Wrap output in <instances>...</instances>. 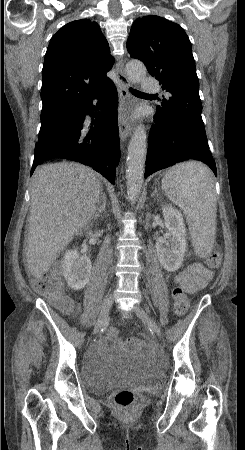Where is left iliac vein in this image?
Masks as SVG:
<instances>
[{"label": "left iliac vein", "instance_id": "4c4485c4", "mask_svg": "<svg viewBox=\"0 0 245 450\" xmlns=\"http://www.w3.org/2000/svg\"><path fill=\"white\" fill-rule=\"evenodd\" d=\"M133 310L139 319H141L143 322L150 324L152 330L155 332L157 336L160 337L162 335L161 329L158 326V324L152 318L149 317L147 312L142 307L136 305Z\"/></svg>", "mask_w": 245, "mask_h": 450}]
</instances>
